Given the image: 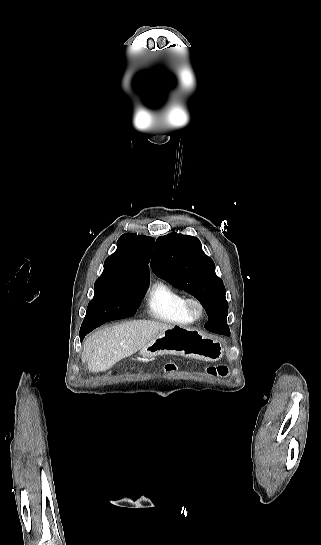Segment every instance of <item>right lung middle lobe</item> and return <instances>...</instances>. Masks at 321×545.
Returning <instances> with one entry per match:
<instances>
[{"label": "right lung middle lobe", "mask_w": 321, "mask_h": 545, "mask_svg": "<svg viewBox=\"0 0 321 545\" xmlns=\"http://www.w3.org/2000/svg\"><path fill=\"white\" fill-rule=\"evenodd\" d=\"M148 285H141L135 287H122L116 286L108 282L107 279L100 277L94 285V298L89 303L87 313L84 319V323H90L97 319L98 309L101 308L108 301L116 298L117 296L129 294L143 298Z\"/></svg>", "instance_id": "obj_1"}]
</instances>
